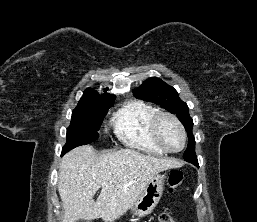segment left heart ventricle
<instances>
[{"label":"left heart ventricle","mask_w":257,"mask_h":222,"mask_svg":"<svg viewBox=\"0 0 257 222\" xmlns=\"http://www.w3.org/2000/svg\"><path fill=\"white\" fill-rule=\"evenodd\" d=\"M159 135L163 143L172 150L182 146V134L177 125L170 119H163L159 125Z\"/></svg>","instance_id":"left-heart-ventricle-1"}]
</instances>
